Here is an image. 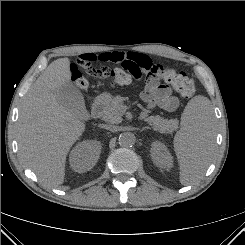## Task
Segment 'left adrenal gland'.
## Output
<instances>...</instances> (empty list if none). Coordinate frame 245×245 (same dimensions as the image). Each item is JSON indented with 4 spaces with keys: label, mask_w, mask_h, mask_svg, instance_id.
I'll use <instances>...</instances> for the list:
<instances>
[{
    "label": "left adrenal gland",
    "mask_w": 245,
    "mask_h": 245,
    "mask_svg": "<svg viewBox=\"0 0 245 245\" xmlns=\"http://www.w3.org/2000/svg\"><path fill=\"white\" fill-rule=\"evenodd\" d=\"M146 129H149V127H143L142 129H140V132L146 130Z\"/></svg>",
    "instance_id": "1"
}]
</instances>
